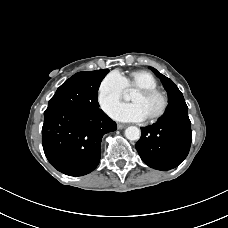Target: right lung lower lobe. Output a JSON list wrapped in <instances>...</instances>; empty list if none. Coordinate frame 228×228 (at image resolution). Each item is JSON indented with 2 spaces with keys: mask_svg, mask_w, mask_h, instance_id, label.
Segmentation results:
<instances>
[{
  "mask_svg": "<svg viewBox=\"0 0 228 228\" xmlns=\"http://www.w3.org/2000/svg\"><path fill=\"white\" fill-rule=\"evenodd\" d=\"M116 123L101 109L78 111L54 107L44 112L42 144L51 165L70 176L93 171L100 161L101 139Z\"/></svg>",
  "mask_w": 228,
  "mask_h": 228,
  "instance_id": "1",
  "label": "right lung lower lobe"
}]
</instances>
